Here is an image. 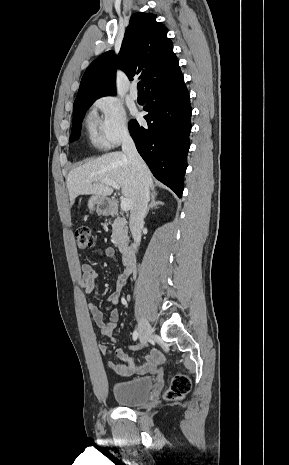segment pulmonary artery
I'll list each match as a JSON object with an SVG mask.
<instances>
[{"label":"pulmonary artery","mask_w":289,"mask_h":465,"mask_svg":"<svg viewBox=\"0 0 289 465\" xmlns=\"http://www.w3.org/2000/svg\"><path fill=\"white\" fill-rule=\"evenodd\" d=\"M130 97H131L133 100H137V99H138V91H137V88H136V85H135V84H132L131 87H130Z\"/></svg>","instance_id":"pulmonary-artery-1"}]
</instances>
